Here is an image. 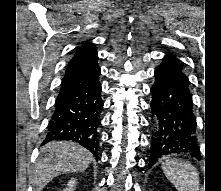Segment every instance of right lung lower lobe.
<instances>
[{
	"label": "right lung lower lobe",
	"mask_w": 221,
	"mask_h": 191,
	"mask_svg": "<svg viewBox=\"0 0 221 191\" xmlns=\"http://www.w3.org/2000/svg\"><path fill=\"white\" fill-rule=\"evenodd\" d=\"M97 59L94 52L70 60L43 144L72 140L98 155L103 102Z\"/></svg>",
	"instance_id": "right-lung-lower-lobe-1"
}]
</instances>
